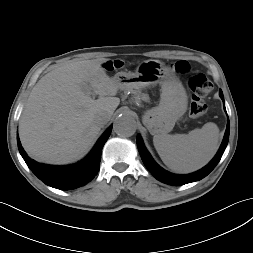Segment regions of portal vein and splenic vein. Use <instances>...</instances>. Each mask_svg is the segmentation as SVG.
I'll return each instance as SVG.
<instances>
[{
	"label": "portal vein and splenic vein",
	"mask_w": 253,
	"mask_h": 253,
	"mask_svg": "<svg viewBox=\"0 0 253 253\" xmlns=\"http://www.w3.org/2000/svg\"><path fill=\"white\" fill-rule=\"evenodd\" d=\"M86 92L90 94V89L88 87H86Z\"/></svg>",
	"instance_id": "obj_1"
}]
</instances>
